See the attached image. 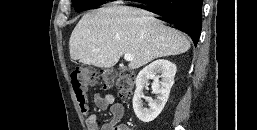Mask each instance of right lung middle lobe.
<instances>
[{
	"label": "right lung middle lobe",
	"instance_id": "right-lung-middle-lobe-1",
	"mask_svg": "<svg viewBox=\"0 0 257 130\" xmlns=\"http://www.w3.org/2000/svg\"><path fill=\"white\" fill-rule=\"evenodd\" d=\"M106 0H72L74 8L77 12L88 10L96 6L102 5Z\"/></svg>",
	"mask_w": 257,
	"mask_h": 130
}]
</instances>
